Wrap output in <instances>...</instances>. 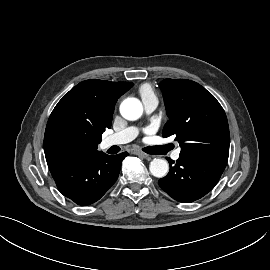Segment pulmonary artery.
<instances>
[{"label":"pulmonary artery","instance_id":"pulmonary-artery-1","mask_svg":"<svg viewBox=\"0 0 270 270\" xmlns=\"http://www.w3.org/2000/svg\"><path fill=\"white\" fill-rule=\"evenodd\" d=\"M143 104L145 111L147 113H152L158 106V99L156 96H151L143 99ZM139 134V130L136 127H127L119 132H116L110 136H108L105 140V146L110 147L113 145H120V144H125L128 143L132 140H134ZM180 152L181 149L178 148L176 149L173 154L172 158L174 160H177L180 157Z\"/></svg>","mask_w":270,"mask_h":270}]
</instances>
